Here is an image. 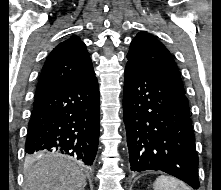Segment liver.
I'll list each match as a JSON object with an SVG mask.
<instances>
[{
	"instance_id": "6515ba94",
	"label": "liver",
	"mask_w": 221,
	"mask_h": 190,
	"mask_svg": "<svg viewBox=\"0 0 221 190\" xmlns=\"http://www.w3.org/2000/svg\"><path fill=\"white\" fill-rule=\"evenodd\" d=\"M25 164L24 190H78L86 185V175L74 162L63 157H46Z\"/></svg>"
}]
</instances>
